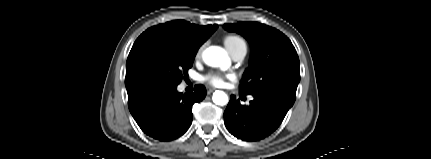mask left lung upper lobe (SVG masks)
Segmentation results:
<instances>
[{"instance_id": "5c2ea615", "label": "left lung upper lobe", "mask_w": 431, "mask_h": 159, "mask_svg": "<svg viewBox=\"0 0 431 159\" xmlns=\"http://www.w3.org/2000/svg\"><path fill=\"white\" fill-rule=\"evenodd\" d=\"M224 29L244 36L251 47L250 66L241 81L240 92L273 91L295 99L300 81L296 50L283 33L258 22L224 24Z\"/></svg>"}]
</instances>
